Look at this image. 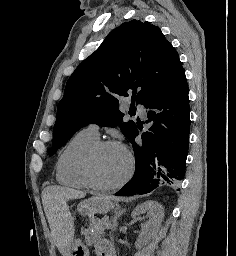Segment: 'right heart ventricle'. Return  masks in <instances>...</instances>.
Segmentation results:
<instances>
[{
	"mask_svg": "<svg viewBox=\"0 0 236 256\" xmlns=\"http://www.w3.org/2000/svg\"><path fill=\"white\" fill-rule=\"evenodd\" d=\"M99 142L85 130L73 136L56 162V180L59 184L76 189H88L84 177V163L89 152Z\"/></svg>",
	"mask_w": 236,
	"mask_h": 256,
	"instance_id": "right-heart-ventricle-1",
	"label": "right heart ventricle"
}]
</instances>
